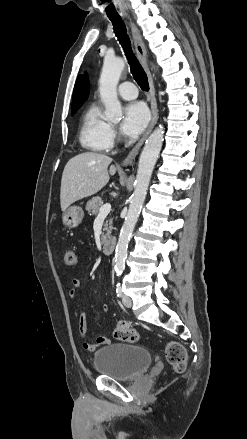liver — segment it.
Instances as JSON below:
<instances>
[{
  "label": "liver",
  "mask_w": 247,
  "mask_h": 439,
  "mask_svg": "<svg viewBox=\"0 0 247 439\" xmlns=\"http://www.w3.org/2000/svg\"><path fill=\"white\" fill-rule=\"evenodd\" d=\"M112 158L95 152H84L71 158L64 167L60 203L62 211L74 202L96 194L109 181V174L116 173V167L108 166Z\"/></svg>",
  "instance_id": "1"
}]
</instances>
